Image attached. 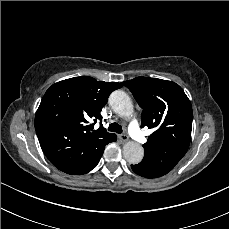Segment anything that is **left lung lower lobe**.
I'll return each instance as SVG.
<instances>
[{
  "mask_svg": "<svg viewBox=\"0 0 229 229\" xmlns=\"http://www.w3.org/2000/svg\"><path fill=\"white\" fill-rule=\"evenodd\" d=\"M132 170L137 174L145 178H157L160 177L155 174L151 169L145 165L139 163L137 165H131Z\"/></svg>",
  "mask_w": 229,
  "mask_h": 229,
  "instance_id": "left-lung-lower-lobe-1",
  "label": "left lung lower lobe"
}]
</instances>
